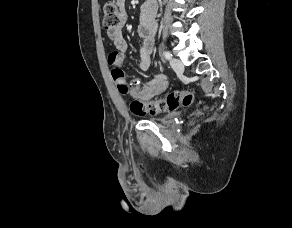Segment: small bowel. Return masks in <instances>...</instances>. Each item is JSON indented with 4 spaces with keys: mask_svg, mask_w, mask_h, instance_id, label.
I'll return each instance as SVG.
<instances>
[{
    "mask_svg": "<svg viewBox=\"0 0 292 228\" xmlns=\"http://www.w3.org/2000/svg\"><path fill=\"white\" fill-rule=\"evenodd\" d=\"M116 4L120 11V24L114 28L107 29V36L113 43L115 51L118 52L123 59L124 53L128 50V43L123 36L122 27L127 18L126 0H116ZM157 6L153 1H146L141 6L137 33L141 39L139 47L138 67L142 72H146L151 67V55L154 47V38L157 30L156 22ZM167 88L166 76L162 73H153L152 77L136 91V95L141 102H146L160 94Z\"/></svg>",
    "mask_w": 292,
    "mask_h": 228,
    "instance_id": "1",
    "label": "small bowel"
}]
</instances>
